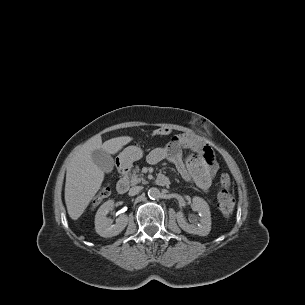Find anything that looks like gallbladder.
Instances as JSON below:
<instances>
[{
  "mask_svg": "<svg viewBox=\"0 0 305 305\" xmlns=\"http://www.w3.org/2000/svg\"><path fill=\"white\" fill-rule=\"evenodd\" d=\"M93 162L104 172L109 173L114 168V160L112 156L102 149L92 151Z\"/></svg>",
  "mask_w": 305,
  "mask_h": 305,
  "instance_id": "gallbladder-1",
  "label": "gallbladder"
}]
</instances>
